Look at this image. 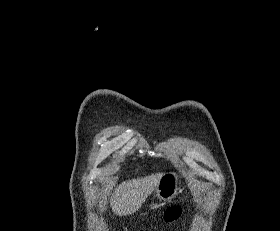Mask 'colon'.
<instances>
[{
    "instance_id": "1",
    "label": "colon",
    "mask_w": 280,
    "mask_h": 231,
    "mask_svg": "<svg viewBox=\"0 0 280 231\" xmlns=\"http://www.w3.org/2000/svg\"><path fill=\"white\" fill-rule=\"evenodd\" d=\"M176 213H178V208H167V211L164 212V219L174 220Z\"/></svg>"
}]
</instances>
